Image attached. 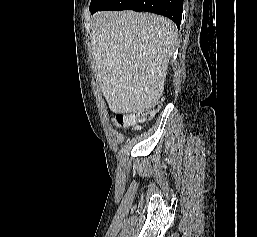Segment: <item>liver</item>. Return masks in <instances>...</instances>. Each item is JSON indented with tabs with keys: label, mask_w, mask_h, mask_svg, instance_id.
Instances as JSON below:
<instances>
[{
	"label": "liver",
	"mask_w": 257,
	"mask_h": 237,
	"mask_svg": "<svg viewBox=\"0 0 257 237\" xmlns=\"http://www.w3.org/2000/svg\"><path fill=\"white\" fill-rule=\"evenodd\" d=\"M175 25L167 18L133 11L98 12L91 42L103 96L115 113L152 108L161 97Z\"/></svg>",
	"instance_id": "obj_1"
}]
</instances>
